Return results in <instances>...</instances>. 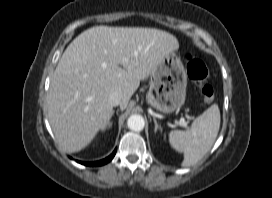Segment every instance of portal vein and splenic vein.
<instances>
[{"label":"portal vein and splenic vein","instance_id":"18ae733b","mask_svg":"<svg viewBox=\"0 0 272 198\" xmlns=\"http://www.w3.org/2000/svg\"><path fill=\"white\" fill-rule=\"evenodd\" d=\"M186 118L191 119V117H190L189 115H187V114H186ZM178 124L181 125V126H184V127L187 126V123H186V121H185L184 119H181V120L178 122Z\"/></svg>","mask_w":272,"mask_h":198}]
</instances>
